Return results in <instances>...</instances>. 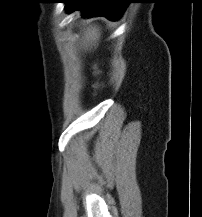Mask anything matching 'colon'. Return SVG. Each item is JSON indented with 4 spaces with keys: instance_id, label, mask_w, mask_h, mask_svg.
Listing matches in <instances>:
<instances>
[{
    "instance_id": "colon-1",
    "label": "colon",
    "mask_w": 202,
    "mask_h": 217,
    "mask_svg": "<svg viewBox=\"0 0 202 217\" xmlns=\"http://www.w3.org/2000/svg\"><path fill=\"white\" fill-rule=\"evenodd\" d=\"M92 71L95 76L99 74V67L97 64L93 66Z\"/></svg>"
}]
</instances>
